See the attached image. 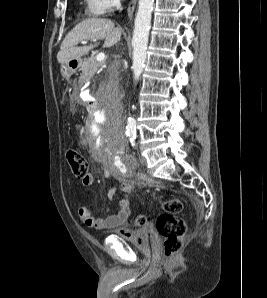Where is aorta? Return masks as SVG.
Returning a JSON list of instances; mask_svg holds the SVG:
<instances>
[{"instance_id": "1", "label": "aorta", "mask_w": 267, "mask_h": 298, "mask_svg": "<svg viewBox=\"0 0 267 298\" xmlns=\"http://www.w3.org/2000/svg\"><path fill=\"white\" fill-rule=\"evenodd\" d=\"M154 0H139L138 12L135 18L132 38L133 46V75L137 81L143 71L146 60L149 30L151 24V14ZM134 108V107H133ZM126 132L134 134L136 132V120L130 117L127 122Z\"/></svg>"}]
</instances>
